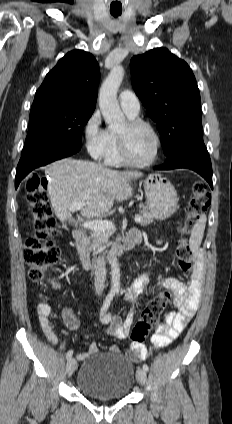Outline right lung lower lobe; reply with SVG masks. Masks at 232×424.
<instances>
[{
	"instance_id": "right-lung-lower-lobe-1",
	"label": "right lung lower lobe",
	"mask_w": 232,
	"mask_h": 424,
	"mask_svg": "<svg viewBox=\"0 0 232 424\" xmlns=\"http://www.w3.org/2000/svg\"><path fill=\"white\" fill-rule=\"evenodd\" d=\"M80 149L81 145L77 144L41 143L22 152L16 170L15 188L17 189L21 180L33 169L69 157Z\"/></svg>"
}]
</instances>
